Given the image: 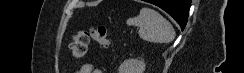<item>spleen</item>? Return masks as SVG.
<instances>
[{
  "label": "spleen",
  "mask_w": 244,
  "mask_h": 73,
  "mask_svg": "<svg viewBox=\"0 0 244 73\" xmlns=\"http://www.w3.org/2000/svg\"><path fill=\"white\" fill-rule=\"evenodd\" d=\"M129 26L139 28L138 35L151 43H169L175 38V30L171 23L157 11L144 7L138 16L126 21Z\"/></svg>",
  "instance_id": "1"
}]
</instances>
